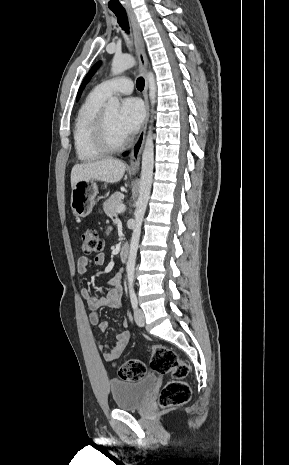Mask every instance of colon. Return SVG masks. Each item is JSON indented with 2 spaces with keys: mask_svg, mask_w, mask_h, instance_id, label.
Masks as SVG:
<instances>
[{
  "mask_svg": "<svg viewBox=\"0 0 289 465\" xmlns=\"http://www.w3.org/2000/svg\"><path fill=\"white\" fill-rule=\"evenodd\" d=\"M103 242L93 227H86L81 234V250L85 254L100 252ZM151 368L159 374H171L169 381L161 390L159 403L162 407L185 404L191 396V389L185 379L189 374L188 365L179 359L177 353L168 347L154 345L150 356ZM119 376L126 381H137L147 373V366L139 358H131L119 367Z\"/></svg>",
  "mask_w": 289,
  "mask_h": 465,
  "instance_id": "obj_1",
  "label": "colon"
}]
</instances>
